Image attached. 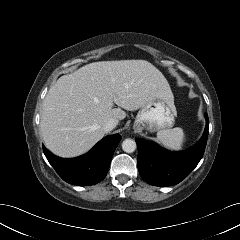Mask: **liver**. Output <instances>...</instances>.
I'll use <instances>...</instances> for the list:
<instances>
[{
	"instance_id": "1",
	"label": "liver",
	"mask_w": 240,
	"mask_h": 240,
	"mask_svg": "<svg viewBox=\"0 0 240 240\" xmlns=\"http://www.w3.org/2000/svg\"><path fill=\"white\" fill-rule=\"evenodd\" d=\"M158 97L174 100L164 75L146 60L87 64L49 89L41 113L42 138L58 156L81 155L103 138L108 119L126 117L121 108L134 111Z\"/></svg>"
}]
</instances>
